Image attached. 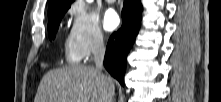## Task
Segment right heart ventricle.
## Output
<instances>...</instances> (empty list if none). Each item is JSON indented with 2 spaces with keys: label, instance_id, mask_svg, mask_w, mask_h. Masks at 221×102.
I'll return each instance as SVG.
<instances>
[{
  "label": "right heart ventricle",
  "instance_id": "1",
  "mask_svg": "<svg viewBox=\"0 0 221 102\" xmlns=\"http://www.w3.org/2000/svg\"><path fill=\"white\" fill-rule=\"evenodd\" d=\"M64 55H65L66 60L70 63H76L80 59L72 47L70 38L68 40H66V42H65Z\"/></svg>",
  "mask_w": 221,
  "mask_h": 102
}]
</instances>
